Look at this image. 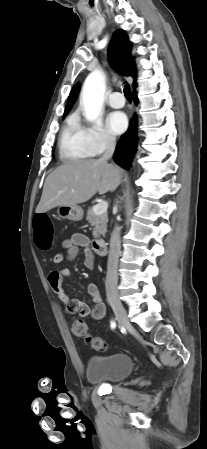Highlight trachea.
Returning a JSON list of instances; mask_svg holds the SVG:
<instances>
[{
    "mask_svg": "<svg viewBox=\"0 0 207 449\" xmlns=\"http://www.w3.org/2000/svg\"><path fill=\"white\" fill-rule=\"evenodd\" d=\"M124 95L127 100L131 101V88L128 84H126L124 87Z\"/></svg>",
    "mask_w": 207,
    "mask_h": 449,
    "instance_id": "1",
    "label": "trachea"
}]
</instances>
